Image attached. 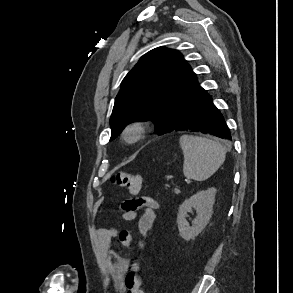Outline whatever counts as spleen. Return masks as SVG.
<instances>
[{"mask_svg":"<svg viewBox=\"0 0 293 293\" xmlns=\"http://www.w3.org/2000/svg\"><path fill=\"white\" fill-rule=\"evenodd\" d=\"M179 143L184 155L183 174L188 179L204 181L225 161L226 148L214 140L182 135Z\"/></svg>","mask_w":293,"mask_h":293,"instance_id":"obj_1","label":"spleen"}]
</instances>
